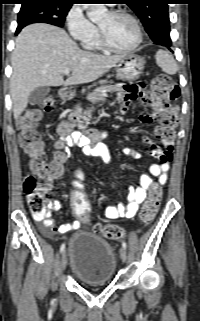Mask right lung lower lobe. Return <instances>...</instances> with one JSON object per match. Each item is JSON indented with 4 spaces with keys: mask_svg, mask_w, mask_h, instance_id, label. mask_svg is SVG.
Instances as JSON below:
<instances>
[{
    "mask_svg": "<svg viewBox=\"0 0 200 321\" xmlns=\"http://www.w3.org/2000/svg\"><path fill=\"white\" fill-rule=\"evenodd\" d=\"M19 32H20V29H17V30H16V35H17Z\"/></svg>",
    "mask_w": 200,
    "mask_h": 321,
    "instance_id": "obj_1",
    "label": "right lung lower lobe"
}]
</instances>
